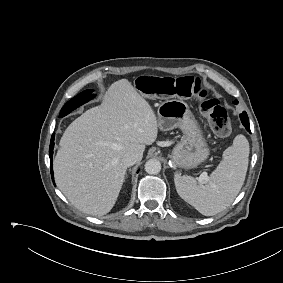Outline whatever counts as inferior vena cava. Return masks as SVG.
<instances>
[{"label":"inferior vena cava","instance_id":"602c4592","mask_svg":"<svg viewBox=\"0 0 283 283\" xmlns=\"http://www.w3.org/2000/svg\"><path fill=\"white\" fill-rule=\"evenodd\" d=\"M137 161L138 155L134 152H127L122 158V162L126 167L134 165Z\"/></svg>","mask_w":283,"mask_h":283}]
</instances>
